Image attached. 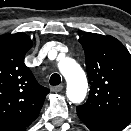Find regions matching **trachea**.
Masks as SVG:
<instances>
[{
    "instance_id": "3493384b",
    "label": "trachea",
    "mask_w": 131,
    "mask_h": 131,
    "mask_svg": "<svg viewBox=\"0 0 131 131\" xmlns=\"http://www.w3.org/2000/svg\"><path fill=\"white\" fill-rule=\"evenodd\" d=\"M61 82V77L59 74L54 73L50 77V85L56 86L59 85Z\"/></svg>"
}]
</instances>
